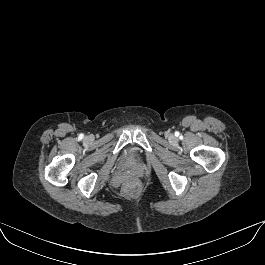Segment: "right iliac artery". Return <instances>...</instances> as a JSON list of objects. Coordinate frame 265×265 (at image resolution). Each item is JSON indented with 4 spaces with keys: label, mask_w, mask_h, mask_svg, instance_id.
Masks as SVG:
<instances>
[{
    "label": "right iliac artery",
    "mask_w": 265,
    "mask_h": 265,
    "mask_svg": "<svg viewBox=\"0 0 265 265\" xmlns=\"http://www.w3.org/2000/svg\"><path fill=\"white\" fill-rule=\"evenodd\" d=\"M83 137H84L83 134H80V135H79V139H82Z\"/></svg>",
    "instance_id": "1"
}]
</instances>
